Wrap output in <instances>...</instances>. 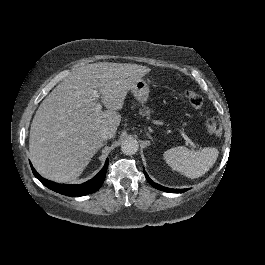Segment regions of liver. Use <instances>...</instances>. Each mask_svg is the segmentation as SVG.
Wrapping results in <instances>:
<instances>
[{"instance_id": "obj_1", "label": "liver", "mask_w": 265, "mask_h": 265, "mask_svg": "<svg viewBox=\"0 0 265 265\" xmlns=\"http://www.w3.org/2000/svg\"><path fill=\"white\" fill-rule=\"evenodd\" d=\"M150 71L137 64L100 62L71 72L42 101L31 123L29 153L36 170L56 182L79 177L103 146L101 131L115 134L121 122L117 110L133 84ZM94 89L104 112H95Z\"/></svg>"}]
</instances>
